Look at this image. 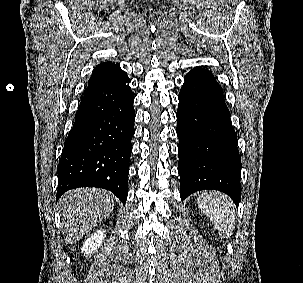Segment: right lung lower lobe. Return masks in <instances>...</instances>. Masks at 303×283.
I'll list each match as a JSON object with an SVG mask.
<instances>
[{"instance_id":"1","label":"right lung lower lobe","mask_w":303,"mask_h":283,"mask_svg":"<svg viewBox=\"0 0 303 283\" xmlns=\"http://www.w3.org/2000/svg\"><path fill=\"white\" fill-rule=\"evenodd\" d=\"M129 82L124 72L84 91L59 161L57 198L97 187L126 203L135 120Z\"/></svg>"}]
</instances>
